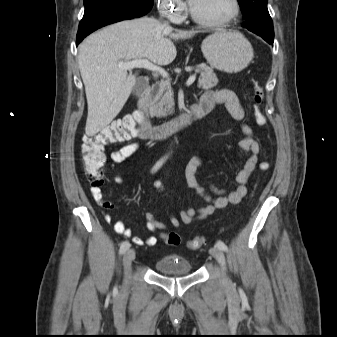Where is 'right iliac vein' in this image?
Instances as JSON below:
<instances>
[{"instance_id":"right-iliac-vein-1","label":"right iliac vein","mask_w":337,"mask_h":337,"mask_svg":"<svg viewBox=\"0 0 337 337\" xmlns=\"http://www.w3.org/2000/svg\"><path fill=\"white\" fill-rule=\"evenodd\" d=\"M134 258H135L134 249H128L123 256V266H124V270H125V283H124V287H123V294H126L127 291H128L129 273H130L131 264H132V261L134 260Z\"/></svg>"}]
</instances>
